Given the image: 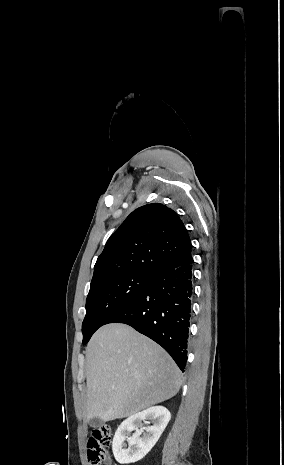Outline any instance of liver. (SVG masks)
Listing matches in <instances>:
<instances>
[{
    "instance_id": "obj_1",
    "label": "liver",
    "mask_w": 284,
    "mask_h": 465,
    "mask_svg": "<svg viewBox=\"0 0 284 465\" xmlns=\"http://www.w3.org/2000/svg\"><path fill=\"white\" fill-rule=\"evenodd\" d=\"M85 419L114 421L177 395L181 373L159 345L128 325L111 323L86 349Z\"/></svg>"
}]
</instances>
